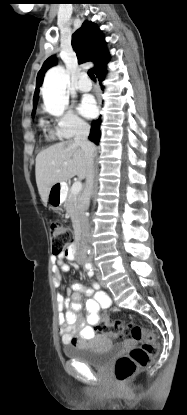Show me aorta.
<instances>
[{
  "label": "aorta",
  "mask_w": 187,
  "mask_h": 415,
  "mask_svg": "<svg viewBox=\"0 0 187 415\" xmlns=\"http://www.w3.org/2000/svg\"><path fill=\"white\" fill-rule=\"evenodd\" d=\"M69 74L64 67L56 66L49 69L45 75L42 96L45 110L53 116H62L69 104L66 86Z\"/></svg>",
  "instance_id": "aorta-1"
}]
</instances>
